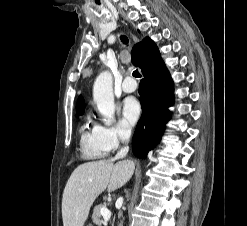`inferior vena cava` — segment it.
Wrapping results in <instances>:
<instances>
[{
  "mask_svg": "<svg viewBox=\"0 0 247 226\" xmlns=\"http://www.w3.org/2000/svg\"><path fill=\"white\" fill-rule=\"evenodd\" d=\"M118 135L122 141L127 142L130 138L131 131L130 129H121ZM128 150H129L128 146H125L124 148L120 149V151H118V153L116 154L115 159H120L125 157L128 153Z\"/></svg>",
  "mask_w": 247,
  "mask_h": 226,
  "instance_id": "602c4592",
  "label": "inferior vena cava"
}]
</instances>
